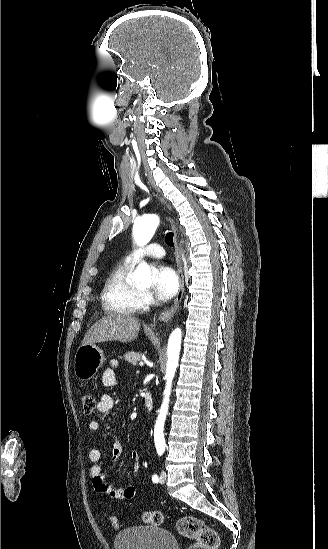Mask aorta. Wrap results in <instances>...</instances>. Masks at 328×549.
<instances>
[{"instance_id": "obj_1", "label": "aorta", "mask_w": 328, "mask_h": 549, "mask_svg": "<svg viewBox=\"0 0 328 549\" xmlns=\"http://www.w3.org/2000/svg\"><path fill=\"white\" fill-rule=\"evenodd\" d=\"M160 218L156 214L142 216L135 220L133 226V236L138 246L146 245L153 237ZM135 283L142 286H151L153 282V272L146 262H141L132 275ZM182 332L176 328L170 335L167 346V365L165 380L166 385L163 392V402L154 427V441L157 451L164 452L166 442L164 438V423L168 413L172 381L178 367L179 354L181 349Z\"/></svg>"}]
</instances>
